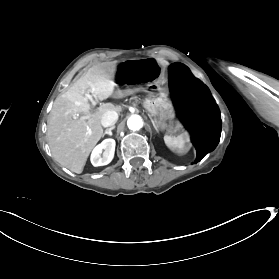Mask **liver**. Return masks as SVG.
Here are the masks:
<instances>
[{
	"label": "liver",
	"mask_w": 279,
	"mask_h": 279,
	"mask_svg": "<svg viewBox=\"0 0 279 279\" xmlns=\"http://www.w3.org/2000/svg\"><path fill=\"white\" fill-rule=\"evenodd\" d=\"M115 69L91 68L68 91L59 94L47 118V142L56 162L81 174L86 161L102 138L101 118L108 110H117L112 102L92 108L86 92L99 100L115 93Z\"/></svg>",
	"instance_id": "6515ba94"
}]
</instances>
